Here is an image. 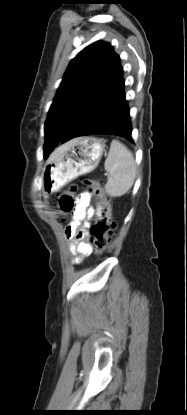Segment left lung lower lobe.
<instances>
[{"instance_id":"1","label":"left lung lower lobe","mask_w":187,"mask_h":415,"mask_svg":"<svg viewBox=\"0 0 187 415\" xmlns=\"http://www.w3.org/2000/svg\"><path fill=\"white\" fill-rule=\"evenodd\" d=\"M90 95V98L97 99V109L68 130L62 143L79 136L98 134L119 136L133 142L123 69L115 52L94 83Z\"/></svg>"}]
</instances>
